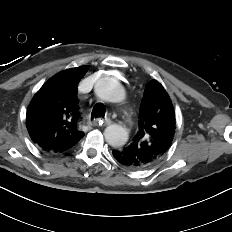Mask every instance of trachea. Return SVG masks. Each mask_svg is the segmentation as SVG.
<instances>
[{
  "label": "trachea",
  "mask_w": 232,
  "mask_h": 232,
  "mask_svg": "<svg viewBox=\"0 0 232 232\" xmlns=\"http://www.w3.org/2000/svg\"><path fill=\"white\" fill-rule=\"evenodd\" d=\"M105 116V107L103 104L98 103L93 107L92 113H91V120L98 117H104Z\"/></svg>",
  "instance_id": "1"
}]
</instances>
